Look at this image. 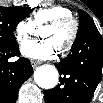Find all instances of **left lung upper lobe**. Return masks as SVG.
I'll use <instances>...</instances> for the list:
<instances>
[{"label": "left lung upper lobe", "instance_id": "obj_1", "mask_svg": "<svg viewBox=\"0 0 103 103\" xmlns=\"http://www.w3.org/2000/svg\"><path fill=\"white\" fill-rule=\"evenodd\" d=\"M79 28L77 31V38L81 37L84 33L90 30H97L93 19L85 11L79 10Z\"/></svg>", "mask_w": 103, "mask_h": 103}]
</instances>
